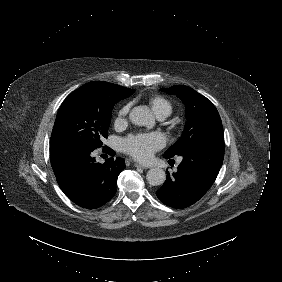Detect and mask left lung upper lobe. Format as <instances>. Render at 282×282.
I'll list each match as a JSON object with an SVG mask.
<instances>
[{
	"mask_svg": "<svg viewBox=\"0 0 282 282\" xmlns=\"http://www.w3.org/2000/svg\"><path fill=\"white\" fill-rule=\"evenodd\" d=\"M161 90L174 94L183 101L187 117L182 136L164 153L165 158L180 155L200 143L224 142L220 116L209 99L187 86L174 85Z\"/></svg>",
	"mask_w": 282,
	"mask_h": 282,
	"instance_id": "obj_1",
	"label": "left lung upper lobe"
}]
</instances>
